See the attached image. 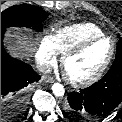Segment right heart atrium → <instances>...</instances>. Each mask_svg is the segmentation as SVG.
Returning <instances> with one entry per match:
<instances>
[{
	"instance_id": "obj_1",
	"label": "right heart atrium",
	"mask_w": 122,
	"mask_h": 122,
	"mask_svg": "<svg viewBox=\"0 0 122 122\" xmlns=\"http://www.w3.org/2000/svg\"><path fill=\"white\" fill-rule=\"evenodd\" d=\"M58 57V52L54 46L52 37L44 36L36 51V61L41 70L46 71L53 66Z\"/></svg>"
}]
</instances>
